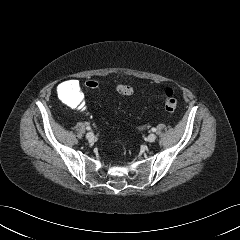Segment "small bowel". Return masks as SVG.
<instances>
[{
    "mask_svg": "<svg viewBox=\"0 0 240 240\" xmlns=\"http://www.w3.org/2000/svg\"><path fill=\"white\" fill-rule=\"evenodd\" d=\"M68 84L69 86L64 88V85ZM60 93L62 97L74 108H77L81 111H85V103L83 101V96L80 91V85L77 80H69L64 82L60 86ZM143 127H140L139 130H143Z\"/></svg>",
    "mask_w": 240,
    "mask_h": 240,
    "instance_id": "small-bowel-1",
    "label": "small bowel"
}]
</instances>
